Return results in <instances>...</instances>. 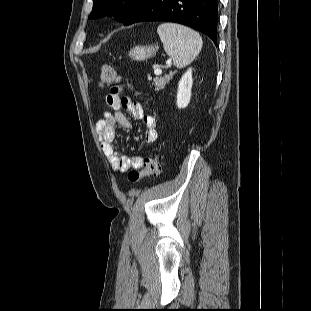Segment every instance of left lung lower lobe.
Wrapping results in <instances>:
<instances>
[{"label": "left lung lower lobe", "mask_w": 311, "mask_h": 311, "mask_svg": "<svg viewBox=\"0 0 311 311\" xmlns=\"http://www.w3.org/2000/svg\"><path fill=\"white\" fill-rule=\"evenodd\" d=\"M217 0H140L121 21L124 25L168 21L189 26L217 42Z\"/></svg>", "instance_id": "0a47b994"}]
</instances>
